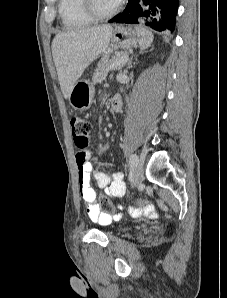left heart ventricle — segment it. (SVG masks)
<instances>
[{"label": "left heart ventricle", "mask_w": 227, "mask_h": 298, "mask_svg": "<svg viewBox=\"0 0 227 298\" xmlns=\"http://www.w3.org/2000/svg\"><path fill=\"white\" fill-rule=\"evenodd\" d=\"M94 7L99 13H107L111 11L116 2L114 0H93Z\"/></svg>", "instance_id": "b2bd125f"}]
</instances>
